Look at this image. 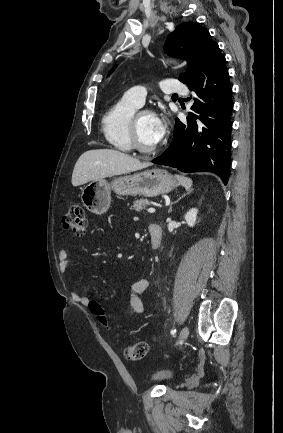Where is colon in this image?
<instances>
[{
  "instance_id": "obj_1",
  "label": "colon",
  "mask_w": 283,
  "mask_h": 433,
  "mask_svg": "<svg viewBox=\"0 0 283 433\" xmlns=\"http://www.w3.org/2000/svg\"><path fill=\"white\" fill-rule=\"evenodd\" d=\"M62 226L66 230H70L76 236H83L87 230V218L84 207L80 203H73L68 209V212L62 218ZM91 311L98 317L101 324L109 326L108 318L106 317L102 307L95 301L89 302ZM148 352V344L144 341H139L128 345L124 350V356L131 361L142 360Z\"/></svg>"
}]
</instances>
